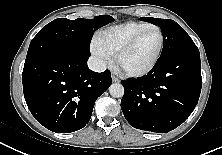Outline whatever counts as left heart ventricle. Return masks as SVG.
Segmentation results:
<instances>
[{"label": "left heart ventricle", "instance_id": "1", "mask_svg": "<svg viewBox=\"0 0 222 155\" xmlns=\"http://www.w3.org/2000/svg\"><path fill=\"white\" fill-rule=\"evenodd\" d=\"M159 45V32L150 30L121 57L120 68L127 71H138L146 68L155 58Z\"/></svg>", "mask_w": 222, "mask_h": 155}]
</instances>
